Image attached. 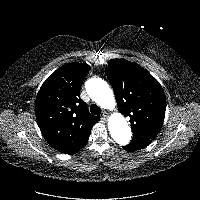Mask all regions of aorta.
<instances>
[{
  "instance_id": "aorta-1",
  "label": "aorta",
  "mask_w": 200,
  "mask_h": 200,
  "mask_svg": "<svg viewBox=\"0 0 200 200\" xmlns=\"http://www.w3.org/2000/svg\"><path fill=\"white\" fill-rule=\"evenodd\" d=\"M85 88L88 95L93 101L104 109L114 110L116 101L114 94L108 83L101 78H91L86 81ZM108 128L113 140L120 144L126 145L131 140V129L124 116L119 112L111 114L108 120Z\"/></svg>"
}]
</instances>
